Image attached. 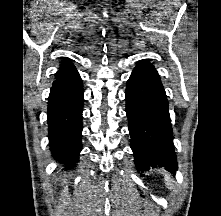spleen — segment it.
Instances as JSON below:
<instances>
[{
  "label": "spleen",
  "instance_id": "spleen-1",
  "mask_svg": "<svg viewBox=\"0 0 221 216\" xmlns=\"http://www.w3.org/2000/svg\"><path fill=\"white\" fill-rule=\"evenodd\" d=\"M166 181L169 182V177L166 178ZM167 185L170 186V187H172V185L169 184V183H168Z\"/></svg>",
  "mask_w": 221,
  "mask_h": 216
}]
</instances>
